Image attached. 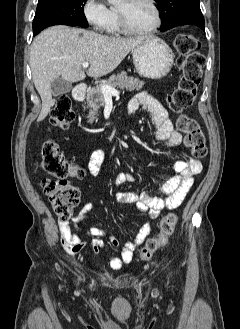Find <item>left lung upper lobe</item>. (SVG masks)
<instances>
[{"label": "left lung upper lobe", "instance_id": "1", "mask_svg": "<svg viewBox=\"0 0 240 329\" xmlns=\"http://www.w3.org/2000/svg\"><path fill=\"white\" fill-rule=\"evenodd\" d=\"M162 19L161 31L169 30L177 25H205L200 10V0H155Z\"/></svg>", "mask_w": 240, "mask_h": 329}]
</instances>
